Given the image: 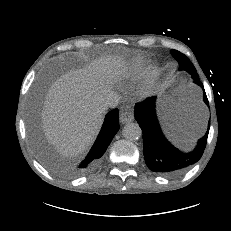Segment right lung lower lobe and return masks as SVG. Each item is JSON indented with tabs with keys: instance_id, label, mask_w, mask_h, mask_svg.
<instances>
[{
	"instance_id": "obj_1",
	"label": "right lung lower lobe",
	"mask_w": 231,
	"mask_h": 231,
	"mask_svg": "<svg viewBox=\"0 0 231 231\" xmlns=\"http://www.w3.org/2000/svg\"><path fill=\"white\" fill-rule=\"evenodd\" d=\"M118 130V109H114L106 115L99 136L86 158L75 167L70 168L68 173L71 175H80L95 168Z\"/></svg>"
}]
</instances>
